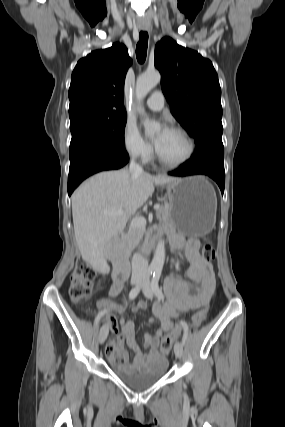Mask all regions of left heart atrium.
<instances>
[{
	"instance_id": "1",
	"label": "left heart atrium",
	"mask_w": 285,
	"mask_h": 427,
	"mask_svg": "<svg viewBox=\"0 0 285 427\" xmlns=\"http://www.w3.org/2000/svg\"><path fill=\"white\" fill-rule=\"evenodd\" d=\"M168 131H169V129H168L167 127H164V128L162 129V131L160 132V135H159L157 138H155V139H154V144H155V147H156V148H157V147H158V145L160 144L161 139L163 138V136H164Z\"/></svg>"
}]
</instances>
